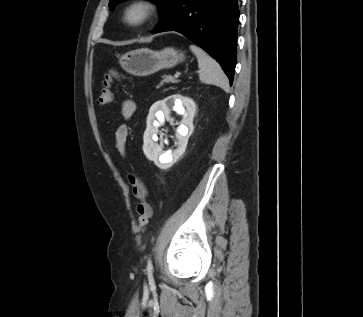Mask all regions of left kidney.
Here are the masks:
<instances>
[{
	"label": "left kidney",
	"instance_id": "5707ae66",
	"mask_svg": "<svg viewBox=\"0 0 363 317\" xmlns=\"http://www.w3.org/2000/svg\"><path fill=\"white\" fill-rule=\"evenodd\" d=\"M187 112L185 111V108ZM173 108L178 114L184 116L177 128L175 136L178 140V147L174 151L164 153L161 146L155 143L158 134V127L165 119H170V109ZM196 112L194 101L188 97L176 94L154 103L147 117V128L144 133L143 151L146 157L154 161L161 169L170 168L186 150L188 139L193 132V119Z\"/></svg>",
	"mask_w": 363,
	"mask_h": 317
}]
</instances>
